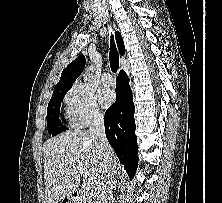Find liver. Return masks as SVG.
<instances>
[{"instance_id": "obj_1", "label": "liver", "mask_w": 222, "mask_h": 203, "mask_svg": "<svg viewBox=\"0 0 222 203\" xmlns=\"http://www.w3.org/2000/svg\"><path fill=\"white\" fill-rule=\"evenodd\" d=\"M117 164L114 153L112 154ZM45 203H58L77 191L81 176L95 189L105 173L106 163L89 132H66L44 144ZM83 174L79 173V169ZM94 191V190H93Z\"/></svg>"}]
</instances>
